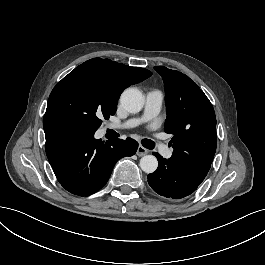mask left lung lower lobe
Listing matches in <instances>:
<instances>
[{"instance_id": "obj_1", "label": "left lung lower lobe", "mask_w": 265, "mask_h": 265, "mask_svg": "<svg viewBox=\"0 0 265 265\" xmlns=\"http://www.w3.org/2000/svg\"><path fill=\"white\" fill-rule=\"evenodd\" d=\"M153 154L157 157L159 165L154 173L148 175V183L159 195L181 199L192 194L202 183L179 165L163 158L156 152Z\"/></svg>"}]
</instances>
